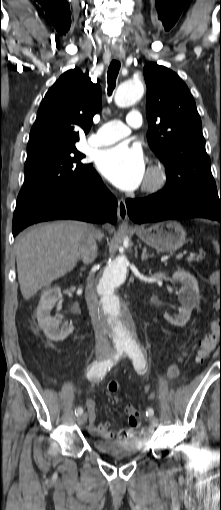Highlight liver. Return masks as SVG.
Returning <instances> with one entry per match:
<instances>
[{
    "label": "liver",
    "mask_w": 221,
    "mask_h": 510,
    "mask_svg": "<svg viewBox=\"0 0 221 510\" xmlns=\"http://www.w3.org/2000/svg\"><path fill=\"white\" fill-rule=\"evenodd\" d=\"M91 225L80 221L42 224L21 233L15 243L18 281L29 300L44 286L72 271ZM104 234L99 232L98 239Z\"/></svg>",
    "instance_id": "1"
}]
</instances>
